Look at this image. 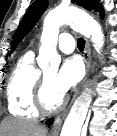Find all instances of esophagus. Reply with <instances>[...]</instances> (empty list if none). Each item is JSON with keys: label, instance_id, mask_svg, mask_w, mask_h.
Here are the masks:
<instances>
[{"label": "esophagus", "instance_id": "obj_1", "mask_svg": "<svg viewBox=\"0 0 117 136\" xmlns=\"http://www.w3.org/2000/svg\"><path fill=\"white\" fill-rule=\"evenodd\" d=\"M84 59H85V64H86V75H85V78H84L82 84H84L86 82V80H87V78L89 76L90 68H91V49H90V43H89L88 40L86 41V45H85ZM78 93H79V89L75 92V94H74V96L72 98L71 103L75 100V98L78 95ZM70 105H69V107L66 110H64L62 113H60L56 117V119L54 121V124L52 126V129H51V135L52 136H58L59 135L62 123H63L64 119L67 116V113L69 111Z\"/></svg>", "mask_w": 117, "mask_h": 136}]
</instances>
